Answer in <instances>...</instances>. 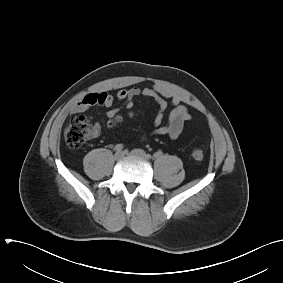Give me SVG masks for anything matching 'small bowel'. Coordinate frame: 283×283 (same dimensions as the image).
<instances>
[{"mask_svg": "<svg viewBox=\"0 0 283 283\" xmlns=\"http://www.w3.org/2000/svg\"><path fill=\"white\" fill-rule=\"evenodd\" d=\"M138 96H144L153 99L158 105V112L154 118L155 135H167L171 139H177L184 124L191 119V114L187 106L183 103L180 96L174 94L170 90L160 86L153 85L151 87H130L121 89L116 94V99L125 102V108L131 110L134 106L133 100ZM168 100L172 109L168 115L166 123H164L165 111L168 107ZM115 102V97L106 92H93L84 96L71 107V113L84 112L91 106L112 107ZM119 113L118 109H110L106 113L107 127L113 129L111 120ZM100 131L99 124H96L92 135H97Z\"/></svg>", "mask_w": 283, "mask_h": 283, "instance_id": "obj_1", "label": "small bowel"}]
</instances>
